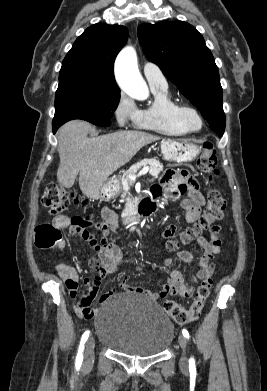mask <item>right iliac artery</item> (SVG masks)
Here are the masks:
<instances>
[{
	"label": "right iliac artery",
	"mask_w": 267,
	"mask_h": 391,
	"mask_svg": "<svg viewBox=\"0 0 267 391\" xmlns=\"http://www.w3.org/2000/svg\"><path fill=\"white\" fill-rule=\"evenodd\" d=\"M88 336H89V331H86L82 336L81 343L79 346V351H78L77 358H76V368L77 369H79L82 364V360H83L82 352L84 349V344H85L86 340L88 339Z\"/></svg>",
	"instance_id": "82829eb1"
}]
</instances>
